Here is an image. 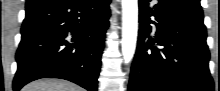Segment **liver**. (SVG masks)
<instances>
[{
    "instance_id": "1",
    "label": "liver",
    "mask_w": 220,
    "mask_h": 91,
    "mask_svg": "<svg viewBox=\"0 0 220 91\" xmlns=\"http://www.w3.org/2000/svg\"><path fill=\"white\" fill-rule=\"evenodd\" d=\"M22 91H82V89L68 81L44 79L27 84Z\"/></svg>"
}]
</instances>
